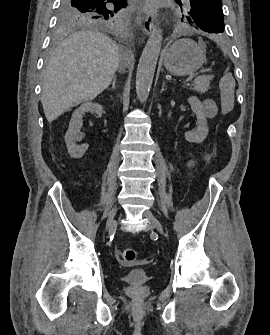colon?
Masks as SVG:
<instances>
[{
	"mask_svg": "<svg viewBox=\"0 0 270 335\" xmlns=\"http://www.w3.org/2000/svg\"><path fill=\"white\" fill-rule=\"evenodd\" d=\"M219 78L222 79V90L219 98V109H236V102H233L235 95V79L232 72H220ZM225 115H230V110H225ZM137 253L132 248L119 249L117 258L123 264L131 263L136 259Z\"/></svg>",
	"mask_w": 270,
	"mask_h": 335,
	"instance_id": "1",
	"label": "colon"
}]
</instances>
